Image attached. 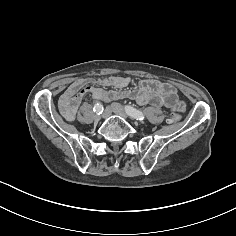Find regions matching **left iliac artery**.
<instances>
[{
  "label": "left iliac artery",
  "instance_id": "44dca946",
  "mask_svg": "<svg viewBox=\"0 0 236 236\" xmlns=\"http://www.w3.org/2000/svg\"><path fill=\"white\" fill-rule=\"evenodd\" d=\"M125 110H126V113L130 116V117H132V118H134V119H136V120H140V121H142V120H144V114L141 112V111H139V110H137L136 108H134V107H132V106H125Z\"/></svg>",
  "mask_w": 236,
  "mask_h": 236
}]
</instances>
